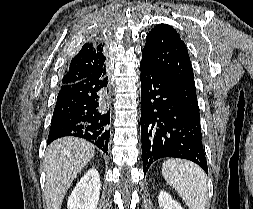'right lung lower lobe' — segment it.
I'll return each instance as SVG.
<instances>
[{
    "instance_id": "1",
    "label": "right lung lower lobe",
    "mask_w": 253,
    "mask_h": 209,
    "mask_svg": "<svg viewBox=\"0 0 253 209\" xmlns=\"http://www.w3.org/2000/svg\"><path fill=\"white\" fill-rule=\"evenodd\" d=\"M106 71L73 84L62 85L51 121L47 143L65 136L86 139L107 154L110 114L100 108Z\"/></svg>"
}]
</instances>
